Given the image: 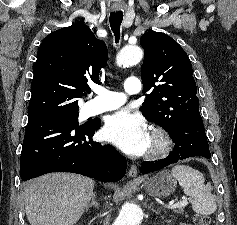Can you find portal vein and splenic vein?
Returning <instances> with one entry per match:
<instances>
[{
    "label": "portal vein and splenic vein",
    "instance_id": "portal-vein-and-splenic-vein-1",
    "mask_svg": "<svg viewBox=\"0 0 237 225\" xmlns=\"http://www.w3.org/2000/svg\"><path fill=\"white\" fill-rule=\"evenodd\" d=\"M187 204H188V199H187V198H183L182 201L169 204V205L167 206V208H169V209H176V208L184 207V206H186Z\"/></svg>",
    "mask_w": 237,
    "mask_h": 225
}]
</instances>
